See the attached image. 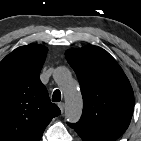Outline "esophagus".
<instances>
[{"label":"esophagus","mask_w":141,"mask_h":141,"mask_svg":"<svg viewBox=\"0 0 141 141\" xmlns=\"http://www.w3.org/2000/svg\"><path fill=\"white\" fill-rule=\"evenodd\" d=\"M58 107L60 108L61 112L63 113L65 110V104L63 102H59Z\"/></svg>","instance_id":"34e87169"}]
</instances>
